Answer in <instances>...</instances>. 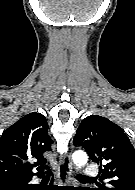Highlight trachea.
I'll return each instance as SVG.
<instances>
[{"label": "trachea", "mask_w": 135, "mask_h": 190, "mask_svg": "<svg viewBox=\"0 0 135 190\" xmlns=\"http://www.w3.org/2000/svg\"><path fill=\"white\" fill-rule=\"evenodd\" d=\"M77 177L80 178V179H89V178H87V177H85L83 175H77Z\"/></svg>", "instance_id": "obj_1"}]
</instances>
